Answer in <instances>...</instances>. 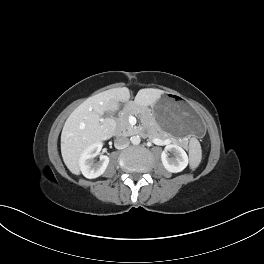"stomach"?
<instances>
[{
  "label": "stomach",
  "instance_id": "stomach-1",
  "mask_svg": "<svg viewBox=\"0 0 264 264\" xmlns=\"http://www.w3.org/2000/svg\"><path fill=\"white\" fill-rule=\"evenodd\" d=\"M151 114L163 131L173 135L201 136L205 132V125L199 120L196 111L183 97L173 93L161 94Z\"/></svg>",
  "mask_w": 264,
  "mask_h": 264
}]
</instances>
